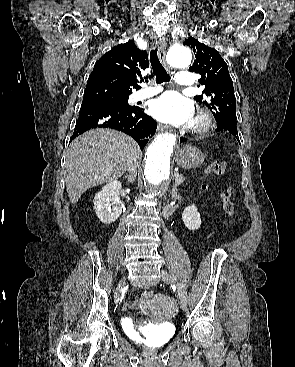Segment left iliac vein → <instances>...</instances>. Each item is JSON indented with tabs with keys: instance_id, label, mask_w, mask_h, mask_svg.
Returning a JSON list of instances; mask_svg holds the SVG:
<instances>
[{
	"instance_id": "obj_1",
	"label": "left iliac vein",
	"mask_w": 295,
	"mask_h": 367,
	"mask_svg": "<svg viewBox=\"0 0 295 367\" xmlns=\"http://www.w3.org/2000/svg\"><path fill=\"white\" fill-rule=\"evenodd\" d=\"M160 275H161V279L164 282H169V283L174 284V286L176 287L177 292H178V297H179V302H180L181 308L183 310H186V308H187V299H186L184 290L181 287V285L179 283H177L176 280L171 276V274L168 273L166 270L162 269Z\"/></svg>"
}]
</instances>
